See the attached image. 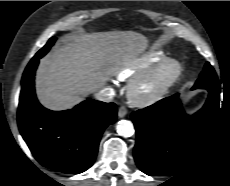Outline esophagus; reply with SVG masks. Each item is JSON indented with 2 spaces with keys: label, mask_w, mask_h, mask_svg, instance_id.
I'll return each instance as SVG.
<instances>
[{
  "label": "esophagus",
  "mask_w": 230,
  "mask_h": 186,
  "mask_svg": "<svg viewBox=\"0 0 230 186\" xmlns=\"http://www.w3.org/2000/svg\"><path fill=\"white\" fill-rule=\"evenodd\" d=\"M128 113L127 109L125 106H121L119 109H118V117L119 118H123L124 116H126V114Z\"/></svg>",
  "instance_id": "esophagus-1"
}]
</instances>
